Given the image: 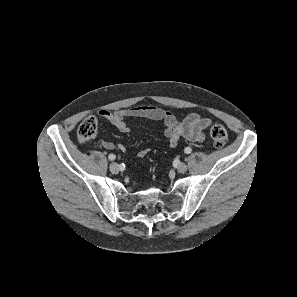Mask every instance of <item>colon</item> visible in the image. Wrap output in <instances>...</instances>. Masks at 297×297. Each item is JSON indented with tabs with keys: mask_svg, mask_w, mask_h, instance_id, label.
<instances>
[{
	"mask_svg": "<svg viewBox=\"0 0 297 297\" xmlns=\"http://www.w3.org/2000/svg\"><path fill=\"white\" fill-rule=\"evenodd\" d=\"M98 132V123L93 116L84 119L78 127V139L80 142H86L93 139ZM209 134L213 145L216 148H222L227 144L228 133L220 124H213L209 129Z\"/></svg>",
	"mask_w": 297,
	"mask_h": 297,
	"instance_id": "obj_1",
	"label": "colon"
}]
</instances>
